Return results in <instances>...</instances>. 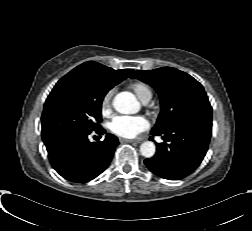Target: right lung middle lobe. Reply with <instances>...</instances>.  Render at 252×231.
I'll list each match as a JSON object with an SVG mask.
<instances>
[{
  "label": "right lung middle lobe",
  "mask_w": 252,
  "mask_h": 231,
  "mask_svg": "<svg viewBox=\"0 0 252 231\" xmlns=\"http://www.w3.org/2000/svg\"><path fill=\"white\" fill-rule=\"evenodd\" d=\"M116 85L106 76L89 70H72L49 94L41 117L45 145L65 135L89 134L102 121L101 105Z\"/></svg>",
  "instance_id": "1"
}]
</instances>
